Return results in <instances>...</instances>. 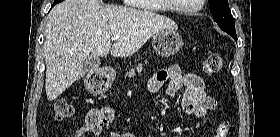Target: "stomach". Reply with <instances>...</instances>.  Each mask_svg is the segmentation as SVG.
Segmentation results:
<instances>
[{
	"mask_svg": "<svg viewBox=\"0 0 280 137\" xmlns=\"http://www.w3.org/2000/svg\"><path fill=\"white\" fill-rule=\"evenodd\" d=\"M153 48L156 54L162 57H170L175 55L182 47L183 41L179 33L172 29H165L153 35L152 38ZM115 77V71L109 70L106 73L107 84L110 85ZM89 82V81H88ZM105 85V87H107ZM89 91L93 93H100L105 88H100L96 83H86Z\"/></svg>",
	"mask_w": 280,
	"mask_h": 137,
	"instance_id": "1",
	"label": "stomach"
}]
</instances>
